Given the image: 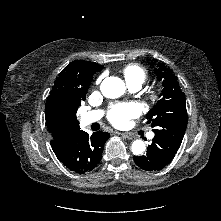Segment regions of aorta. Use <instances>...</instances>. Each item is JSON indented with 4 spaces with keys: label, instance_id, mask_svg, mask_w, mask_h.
Here are the masks:
<instances>
[{
    "label": "aorta",
    "instance_id": "1",
    "mask_svg": "<svg viewBox=\"0 0 221 221\" xmlns=\"http://www.w3.org/2000/svg\"><path fill=\"white\" fill-rule=\"evenodd\" d=\"M102 94L106 98H118L121 97L126 90L125 83L118 77H107L103 80L100 86ZM132 153L134 155H141L146 147L142 140H135L132 143Z\"/></svg>",
    "mask_w": 221,
    "mask_h": 221
}]
</instances>
